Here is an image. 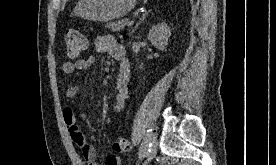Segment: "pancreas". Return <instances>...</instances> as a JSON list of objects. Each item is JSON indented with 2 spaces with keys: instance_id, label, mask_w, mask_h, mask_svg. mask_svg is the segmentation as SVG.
Wrapping results in <instances>:
<instances>
[{
  "instance_id": "pancreas-1",
  "label": "pancreas",
  "mask_w": 276,
  "mask_h": 165,
  "mask_svg": "<svg viewBox=\"0 0 276 165\" xmlns=\"http://www.w3.org/2000/svg\"><path fill=\"white\" fill-rule=\"evenodd\" d=\"M126 25H127V20L124 19L118 22L107 23L106 27L110 28L114 32H117V31H120L121 29H124Z\"/></svg>"
}]
</instances>
